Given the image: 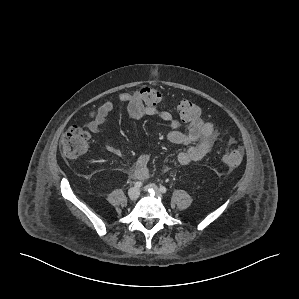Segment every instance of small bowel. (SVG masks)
<instances>
[{"label":"small bowel","mask_w":299,"mask_h":299,"mask_svg":"<svg viewBox=\"0 0 299 299\" xmlns=\"http://www.w3.org/2000/svg\"><path fill=\"white\" fill-rule=\"evenodd\" d=\"M118 101L124 103L129 116L134 120H139L145 116H156L165 121L170 130L167 138L170 142L186 146V149L178 153L177 162L180 165H188L203 159L213 148L219 138L218 132L213 124L201 117L187 123L183 128L181 123L166 110H161L157 106L147 105L141 98L139 90L133 92H123L118 95ZM116 107V102L107 100L102 103L88 128L92 133L100 132L107 116ZM105 149L115 155L120 154V150L112 144H105ZM149 156L141 155L135 162L133 175L139 180L149 177ZM164 168L163 171H166Z\"/></svg>","instance_id":"small-bowel-1"}]
</instances>
